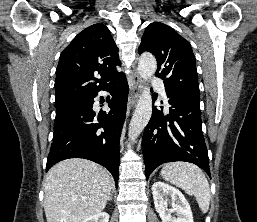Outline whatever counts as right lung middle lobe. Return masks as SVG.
I'll return each mask as SVG.
<instances>
[{
    "label": "right lung middle lobe",
    "instance_id": "dd1d6c3e",
    "mask_svg": "<svg viewBox=\"0 0 257 222\" xmlns=\"http://www.w3.org/2000/svg\"><path fill=\"white\" fill-rule=\"evenodd\" d=\"M87 100L88 99H81V100H75V101H70L66 103L56 104V115H59L73 107L85 106Z\"/></svg>",
    "mask_w": 257,
    "mask_h": 222
}]
</instances>
